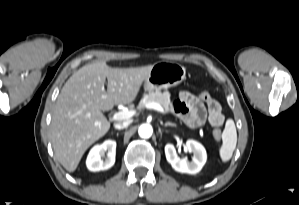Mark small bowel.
Returning <instances> with one entry per match:
<instances>
[{
    "label": "small bowel",
    "mask_w": 299,
    "mask_h": 205,
    "mask_svg": "<svg viewBox=\"0 0 299 205\" xmlns=\"http://www.w3.org/2000/svg\"><path fill=\"white\" fill-rule=\"evenodd\" d=\"M173 110L190 127L201 126L206 118L212 126H221L224 122L221 106L216 100L210 99L203 103L187 91L180 93Z\"/></svg>",
    "instance_id": "c3829d8e"
}]
</instances>
